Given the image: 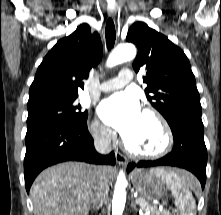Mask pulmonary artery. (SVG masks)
I'll list each match as a JSON object with an SVG mask.
<instances>
[{
	"label": "pulmonary artery",
	"instance_id": "1",
	"mask_svg": "<svg viewBox=\"0 0 221 215\" xmlns=\"http://www.w3.org/2000/svg\"><path fill=\"white\" fill-rule=\"evenodd\" d=\"M132 80V71L129 69H122L117 77L104 81L100 85L99 90L102 92L115 91L129 84Z\"/></svg>",
	"mask_w": 221,
	"mask_h": 215
}]
</instances>
